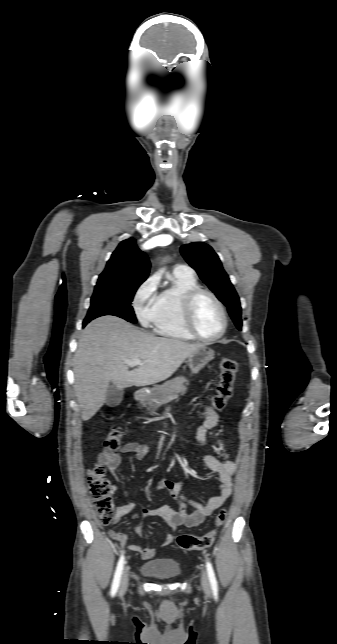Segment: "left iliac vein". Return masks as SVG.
<instances>
[{
  "label": "left iliac vein",
  "instance_id": "4c4485c4",
  "mask_svg": "<svg viewBox=\"0 0 337 644\" xmlns=\"http://www.w3.org/2000/svg\"><path fill=\"white\" fill-rule=\"evenodd\" d=\"M201 584H202L203 590L206 593H209L210 592V584H209V579H208V575L206 574V572L202 573Z\"/></svg>",
  "mask_w": 337,
  "mask_h": 644
}]
</instances>
